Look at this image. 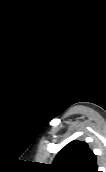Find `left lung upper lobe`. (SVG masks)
I'll use <instances>...</instances> for the list:
<instances>
[{
  "instance_id": "obj_1",
  "label": "left lung upper lobe",
  "mask_w": 106,
  "mask_h": 172,
  "mask_svg": "<svg viewBox=\"0 0 106 172\" xmlns=\"http://www.w3.org/2000/svg\"><path fill=\"white\" fill-rule=\"evenodd\" d=\"M51 166L54 172H98L96 156L87 143L77 140L67 144Z\"/></svg>"
}]
</instances>
